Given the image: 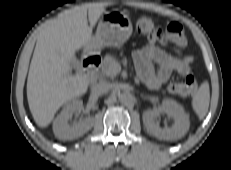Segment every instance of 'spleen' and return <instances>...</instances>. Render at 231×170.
Here are the masks:
<instances>
[{"instance_id": "3e777b00", "label": "spleen", "mask_w": 231, "mask_h": 170, "mask_svg": "<svg viewBox=\"0 0 231 170\" xmlns=\"http://www.w3.org/2000/svg\"><path fill=\"white\" fill-rule=\"evenodd\" d=\"M210 102V90L208 82L201 84L198 92L192 99V108L199 119H203L208 112Z\"/></svg>"}]
</instances>
